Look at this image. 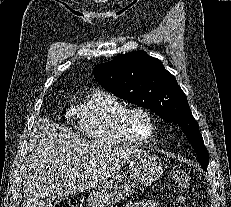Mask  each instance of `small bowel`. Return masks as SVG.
Returning a JSON list of instances; mask_svg holds the SVG:
<instances>
[{"label": "small bowel", "instance_id": "small-bowel-1", "mask_svg": "<svg viewBox=\"0 0 231 207\" xmlns=\"http://www.w3.org/2000/svg\"><path fill=\"white\" fill-rule=\"evenodd\" d=\"M128 207H159V204L152 199H142L131 203Z\"/></svg>", "mask_w": 231, "mask_h": 207}]
</instances>
